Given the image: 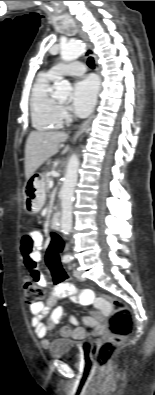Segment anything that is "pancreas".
Listing matches in <instances>:
<instances>
[{
  "mask_svg": "<svg viewBox=\"0 0 155 395\" xmlns=\"http://www.w3.org/2000/svg\"><path fill=\"white\" fill-rule=\"evenodd\" d=\"M50 180H52L50 177H44V186H45L46 191H49V189H50L48 186V183Z\"/></svg>",
  "mask_w": 155,
  "mask_h": 395,
  "instance_id": "cf45deb5",
  "label": "pancreas"
}]
</instances>
